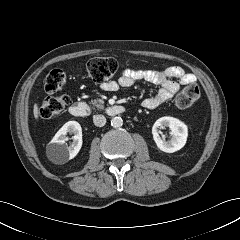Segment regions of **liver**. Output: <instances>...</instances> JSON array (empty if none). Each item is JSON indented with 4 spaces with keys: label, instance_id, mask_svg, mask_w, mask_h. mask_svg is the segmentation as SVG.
<instances>
[{
    "label": "liver",
    "instance_id": "liver-1",
    "mask_svg": "<svg viewBox=\"0 0 240 240\" xmlns=\"http://www.w3.org/2000/svg\"><path fill=\"white\" fill-rule=\"evenodd\" d=\"M33 113H34V117L36 119H38V117H39V109H38V105L37 104L34 105Z\"/></svg>",
    "mask_w": 240,
    "mask_h": 240
}]
</instances>
